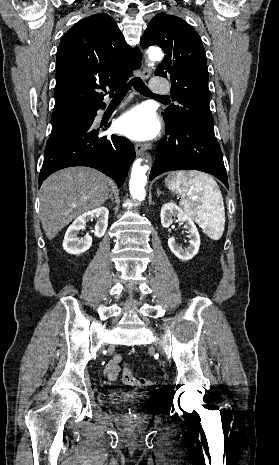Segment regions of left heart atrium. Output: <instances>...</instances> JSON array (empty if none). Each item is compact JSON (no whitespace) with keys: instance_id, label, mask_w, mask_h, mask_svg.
<instances>
[{"instance_id":"left-heart-atrium-1","label":"left heart atrium","mask_w":279,"mask_h":465,"mask_svg":"<svg viewBox=\"0 0 279 465\" xmlns=\"http://www.w3.org/2000/svg\"><path fill=\"white\" fill-rule=\"evenodd\" d=\"M159 128L157 116L145 105L134 107L117 121L118 131L137 141L154 138L158 134Z\"/></svg>"}]
</instances>
